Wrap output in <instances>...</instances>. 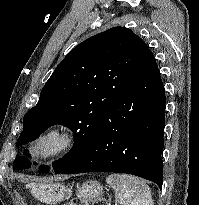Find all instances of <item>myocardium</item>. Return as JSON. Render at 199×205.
<instances>
[{
  "mask_svg": "<svg viewBox=\"0 0 199 205\" xmlns=\"http://www.w3.org/2000/svg\"><path fill=\"white\" fill-rule=\"evenodd\" d=\"M75 134L72 128L53 125L43 130L31 145V156L40 162L57 159L73 146Z\"/></svg>",
  "mask_w": 199,
  "mask_h": 205,
  "instance_id": "f54148a6",
  "label": "myocardium"
}]
</instances>
